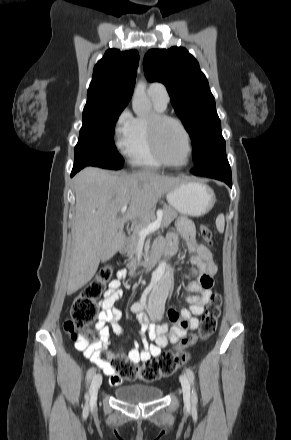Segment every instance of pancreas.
I'll list each match as a JSON object with an SVG mask.
<instances>
[{"label": "pancreas", "instance_id": "1", "mask_svg": "<svg viewBox=\"0 0 291 440\" xmlns=\"http://www.w3.org/2000/svg\"><path fill=\"white\" fill-rule=\"evenodd\" d=\"M162 212H163V217H162L161 225L163 228H166L177 217L178 212L173 207L163 202H162ZM152 217L153 214H149L144 219V221H142L139 225H137L132 235L129 237V239L125 244L124 251L127 253V256L131 257L130 264L128 265V267L132 265H136V255H137L138 244L140 241L139 230L141 228L146 227L149 224Z\"/></svg>", "mask_w": 291, "mask_h": 440}]
</instances>
